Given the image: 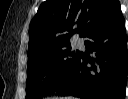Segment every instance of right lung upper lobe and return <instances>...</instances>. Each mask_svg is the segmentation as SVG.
I'll return each mask as SVG.
<instances>
[{"label": "right lung upper lobe", "mask_w": 128, "mask_h": 99, "mask_svg": "<svg viewBox=\"0 0 128 99\" xmlns=\"http://www.w3.org/2000/svg\"><path fill=\"white\" fill-rule=\"evenodd\" d=\"M120 5L118 0H47L29 27L28 58L70 44L75 33L86 37ZM78 25L79 31L73 29Z\"/></svg>", "instance_id": "obj_1"}]
</instances>
